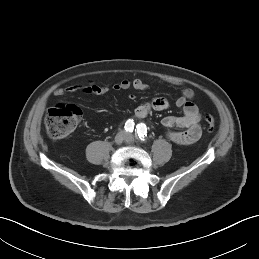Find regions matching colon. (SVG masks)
<instances>
[{"label": "colon", "instance_id": "5ec220e1", "mask_svg": "<svg viewBox=\"0 0 259 259\" xmlns=\"http://www.w3.org/2000/svg\"><path fill=\"white\" fill-rule=\"evenodd\" d=\"M81 116V109L74 104H59L50 109L45 118L48 135L53 139H62L76 127ZM204 124L209 132H213L217 123L209 114L204 115Z\"/></svg>", "mask_w": 259, "mask_h": 259}]
</instances>
